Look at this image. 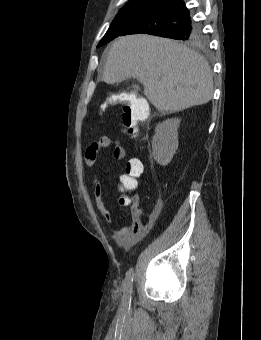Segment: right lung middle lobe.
<instances>
[{
	"instance_id": "obj_1",
	"label": "right lung middle lobe",
	"mask_w": 261,
	"mask_h": 340,
	"mask_svg": "<svg viewBox=\"0 0 261 340\" xmlns=\"http://www.w3.org/2000/svg\"><path fill=\"white\" fill-rule=\"evenodd\" d=\"M158 4L159 3L155 2H137L126 4L122 9H120L119 13L116 15L108 31L97 47H100L121 35L142 16L154 9ZM172 38L183 40L188 44L196 46H203L205 44V38L201 33L200 27L196 23L189 30L174 34Z\"/></svg>"
}]
</instances>
